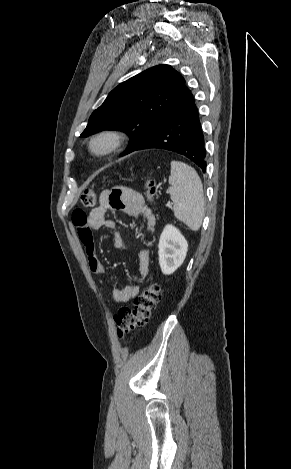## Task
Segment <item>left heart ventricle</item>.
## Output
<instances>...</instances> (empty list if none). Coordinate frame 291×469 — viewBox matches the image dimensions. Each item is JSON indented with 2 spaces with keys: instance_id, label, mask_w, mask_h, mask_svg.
Wrapping results in <instances>:
<instances>
[{
  "instance_id": "b2bd125f",
  "label": "left heart ventricle",
  "mask_w": 291,
  "mask_h": 469,
  "mask_svg": "<svg viewBox=\"0 0 291 469\" xmlns=\"http://www.w3.org/2000/svg\"><path fill=\"white\" fill-rule=\"evenodd\" d=\"M104 146V143H100L97 145L98 148H102Z\"/></svg>"
}]
</instances>
